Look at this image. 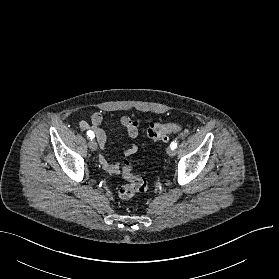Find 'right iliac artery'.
I'll return each mask as SVG.
<instances>
[{"instance_id": "right-iliac-artery-1", "label": "right iliac artery", "mask_w": 279, "mask_h": 279, "mask_svg": "<svg viewBox=\"0 0 279 279\" xmlns=\"http://www.w3.org/2000/svg\"><path fill=\"white\" fill-rule=\"evenodd\" d=\"M87 135L88 137H90L91 139L94 138V133L92 131H87Z\"/></svg>"}]
</instances>
